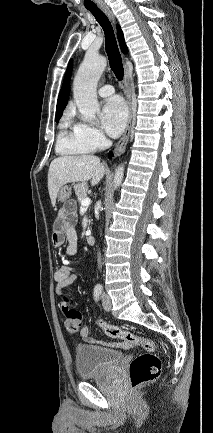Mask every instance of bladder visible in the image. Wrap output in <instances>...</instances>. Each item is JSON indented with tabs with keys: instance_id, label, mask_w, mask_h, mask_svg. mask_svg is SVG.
I'll use <instances>...</instances> for the list:
<instances>
[{
	"instance_id": "obj_1",
	"label": "bladder",
	"mask_w": 213,
	"mask_h": 433,
	"mask_svg": "<svg viewBox=\"0 0 213 433\" xmlns=\"http://www.w3.org/2000/svg\"><path fill=\"white\" fill-rule=\"evenodd\" d=\"M121 351L88 344L75 348L76 371L81 379H93L108 375L124 359Z\"/></svg>"
}]
</instances>
